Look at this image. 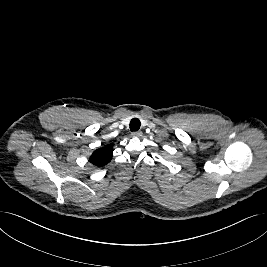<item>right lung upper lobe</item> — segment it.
Returning <instances> with one entry per match:
<instances>
[{"instance_id": "right-lung-upper-lobe-1", "label": "right lung upper lobe", "mask_w": 267, "mask_h": 267, "mask_svg": "<svg viewBox=\"0 0 267 267\" xmlns=\"http://www.w3.org/2000/svg\"><path fill=\"white\" fill-rule=\"evenodd\" d=\"M113 149L111 145H108L104 148L97 149L90 156L89 161L98 167L105 166L112 159Z\"/></svg>"}]
</instances>
